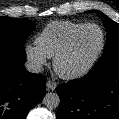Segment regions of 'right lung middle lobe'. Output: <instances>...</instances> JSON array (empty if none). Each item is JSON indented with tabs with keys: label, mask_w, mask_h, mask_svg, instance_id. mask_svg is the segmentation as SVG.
Instances as JSON below:
<instances>
[{
	"label": "right lung middle lobe",
	"mask_w": 119,
	"mask_h": 119,
	"mask_svg": "<svg viewBox=\"0 0 119 119\" xmlns=\"http://www.w3.org/2000/svg\"><path fill=\"white\" fill-rule=\"evenodd\" d=\"M35 28L29 20L0 16V55L26 57L24 42Z\"/></svg>",
	"instance_id": "right-lung-middle-lobe-1"
}]
</instances>
